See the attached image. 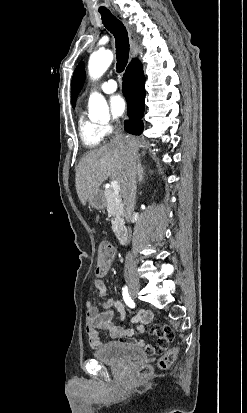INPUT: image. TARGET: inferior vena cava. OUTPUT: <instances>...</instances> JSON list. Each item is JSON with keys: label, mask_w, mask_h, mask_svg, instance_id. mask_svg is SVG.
I'll return each mask as SVG.
<instances>
[{"label": "inferior vena cava", "mask_w": 247, "mask_h": 413, "mask_svg": "<svg viewBox=\"0 0 247 413\" xmlns=\"http://www.w3.org/2000/svg\"><path fill=\"white\" fill-rule=\"evenodd\" d=\"M111 142H119V144H126V164L124 166L123 180H122V196L124 202V209L126 213V219L129 221L135 207L136 198V176L141 170V164L137 156V148L133 144L134 140L129 134H123L121 128H116L114 136ZM125 281L126 283H137V271L135 261L131 253H127L125 259Z\"/></svg>", "instance_id": "602c4592"}]
</instances>
